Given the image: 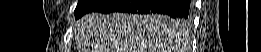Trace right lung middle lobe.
<instances>
[{
    "mask_svg": "<svg viewBox=\"0 0 261 52\" xmlns=\"http://www.w3.org/2000/svg\"><path fill=\"white\" fill-rule=\"evenodd\" d=\"M104 2L105 0H79L78 5L75 9V18L78 19L84 14L91 12ZM164 20L179 26H187L189 22L188 19L173 18L168 16H165Z\"/></svg>",
    "mask_w": 261,
    "mask_h": 52,
    "instance_id": "dd1d6c3e",
    "label": "right lung middle lobe"
}]
</instances>
